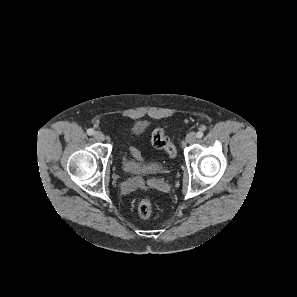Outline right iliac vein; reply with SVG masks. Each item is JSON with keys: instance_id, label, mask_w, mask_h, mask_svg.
Returning <instances> with one entry per match:
<instances>
[{"instance_id": "right-iliac-vein-1", "label": "right iliac vein", "mask_w": 297, "mask_h": 297, "mask_svg": "<svg viewBox=\"0 0 297 297\" xmlns=\"http://www.w3.org/2000/svg\"><path fill=\"white\" fill-rule=\"evenodd\" d=\"M94 138L98 141V142H103L105 140V136L102 132L100 131H96L94 133Z\"/></svg>"}]
</instances>
